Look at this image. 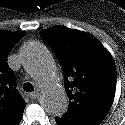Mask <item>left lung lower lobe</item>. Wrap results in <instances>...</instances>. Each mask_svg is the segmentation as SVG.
<instances>
[{"instance_id": "left-lung-lower-lobe-1", "label": "left lung lower lobe", "mask_w": 125, "mask_h": 125, "mask_svg": "<svg viewBox=\"0 0 125 125\" xmlns=\"http://www.w3.org/2000/svg\"><path fill=\"white\" fill-rule=\"evenodd\" d=\"M55 121H56L57 125H84L81 123L72 122L70 120L59 118V117H56Z\"/></svg>"}]
</instances>
